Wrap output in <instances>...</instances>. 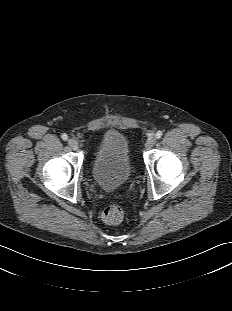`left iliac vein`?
I'll use <instances>...</instances> for the list:
<instances>
[{
	"label": "left iliac vein",
	"mask_w": 232,
	"mask_h": 311,
	"mask_svg": "<svg viewBox=\"0 0 232 311\" xmlns=\"http://www.w3.org/2000/svg\"><path fill=\"white\" fill-rule=\"evenodd\" d=\"M156 143V138L154 136H151L147 139L145 147L146 149L152 148Z\"/></svg>",
	"instance_id": "1"
}]
</instances>
